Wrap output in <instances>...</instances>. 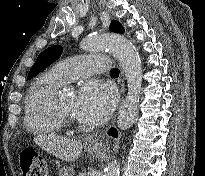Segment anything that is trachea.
Wrapping results in <instances>:
<instances>
[{"label":"trachea","mask_w":205,"mask_h":176,"mask_svg":"<svg viewBox=\"0 0 205 176\" xmlns=\"http://www.w3.org/2000/svg\"><path fill=\"white\" fill-rule=\"evenodd\" d=\"M111 74H119V70L117 68H112L111 69Z\"/></svg>","instance_id":"obj_1"}]
</instances>
